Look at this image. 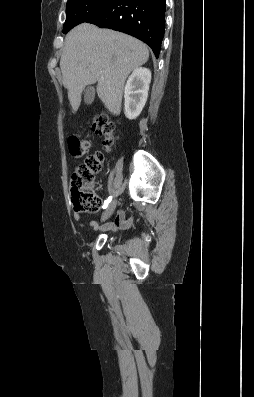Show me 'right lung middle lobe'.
I'll return each mask as SVG.
<instances>
[{
	"label": "right lung middle lobe",
	"instance_id": "obj_1",
	"mask_svg": "<svg viewBox=\"0 0 254 397\" xmlns=\"http://www.w3.org/2000/svg\"><path fill=\"white\" fill-rule=\"evenodd\" d=\"M111 0H68L66 22L62 32L66 34L73 27L99 14Z\"/></svg>",
	"mask_w": 254,
	"mask_h": 397
}]
</instances>
